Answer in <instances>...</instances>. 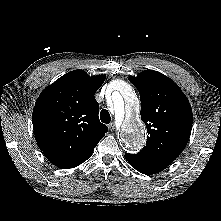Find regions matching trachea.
I'll list each match as a JSON object with an SVG mask.
<instances>
[{"label": "trachea", "instance_id": "trachea-1", "mask_svg": "<svg viewBox=\"0 0 221 221\" xmlns=\"http://www.w3.org/2000/svg\"><path fill=\"white\" fill-rule=\"evenodd\" d=\"M100 119L103 123L109 124L111 121V117L109 112L106 109L101 110Z\"/></svg>", "mask_w": 221, "mask_h": 221}]
</instances>
